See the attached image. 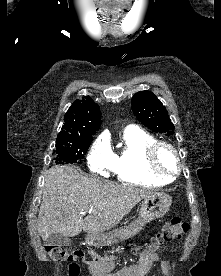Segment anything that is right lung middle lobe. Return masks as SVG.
Masks as SVG:
<instances>
[{
	"label": "right lung middle lobe",
	"instance_id": "right-lung-middle-lobe-1",
	"mask_svg": "<svg viewBox=\"0 0 221 276\" xmlns=\"http://www.w3.org/2000/svg\"><path fill=\"white\" fill-rule=\"evenodd\" d=\"M92 139L56 141L55 161L57 164L77 163L87 152Z\"/></svg>",
	"mask_w": 221,
	"mask_h": 276
}]
</instances>
